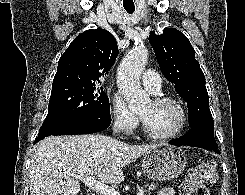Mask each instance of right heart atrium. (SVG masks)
Returning a JSON list of instances; mask_svg holds the SVG:
<instances>
[{"label":"right heart atrium","mask_w":245,"mask_h":195,"mask_svg":"<svg viewBox=\"0 0 245 195\" xmlns=\"http://www.w3.org/2000/svg\"><path fill=\"white\" fill-rule=\"evenodd\" d=\"M109 112L114 127L127 134L138 125L137 116L127 107L124 99L117 93L109 96Z\"/></svg>","instance_id":"right-heart-atrium-1"}]
</instances>
